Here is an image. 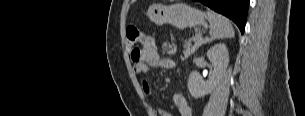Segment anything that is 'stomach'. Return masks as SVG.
<instances>
[{
    "mask_svg": "<svg viewBox=\"0 0 305 116\" xmlns=\"http://www.w3.org/2000/svg\"><path fill=\"white\" fill-rule=\"evenodd\" d=\"M149 19L156 24H172L179 28L195 27L205 23L204 15L185 3L173 5L153 4L147 11Z\"/></svg>",
    "mask_w": 305,
    "mask_h": 116,
    "instance_id": "obj_1",
    "label": "stomach"
}]
</instances>
